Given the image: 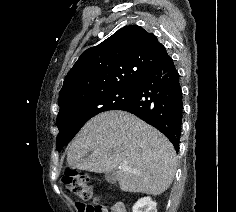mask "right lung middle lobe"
Instances as JSON below:
<instances>
[{
    "instance_id": "dd1d6c3e",
    "label": "right lung middle lobe",
    "mask_w": 236,
    "mask_h": 212,
    "mask_svg": "<svg viewBox=\"0 0 236 212\" xmlns=\"http://www.w3.org/2000/svg\"><path fill=\"white\" fill-rule=\"evenodd\" d=\"M136 90L137 85L115 88L84 97L60 108L56 119L59 129L56 138L57 150L60 152L90 118L104 111L118 109L132 99Z\"/></svg>"
}]
</instances>
